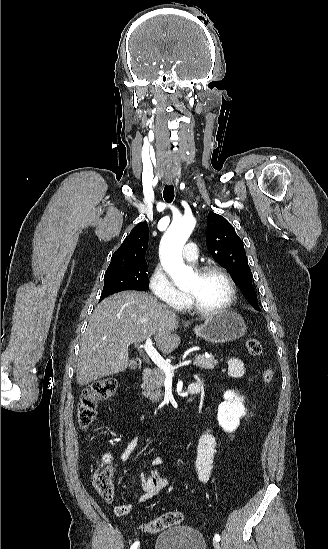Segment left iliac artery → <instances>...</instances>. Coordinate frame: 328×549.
<instances>
[{
  "label": "left iliac artery",
  "instance_id": "1",
  "mask_svg": "<svg viewBox=\"0 0 328 549\" xmlns=\"http://www.w3.org/2000/svg\"><path fill=\"white\" fill-rule=\"evenodd\" d=\"M214 538H215L216 541H220V536H219V534H216V535L214 536Z\"/></svg>",
  "mask_w": 328,
  "mask_h": 549
}]
</instances>
